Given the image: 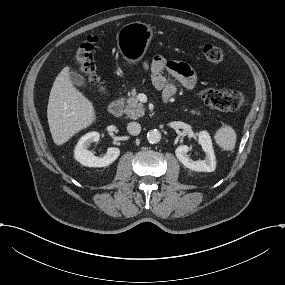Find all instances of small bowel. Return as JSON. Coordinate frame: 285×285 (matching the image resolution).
<instances>
[{"label": "small bowel", "instance_id": "obj_1", "mask_svg": "<svg viewBox=\"0 0 285 285\" xmlns=\"http://www.w3.org/2000/svg\"><path fill=\"white\" fill-rule=\"evenodd\" d=\"M153 85L162 91L165 100L171 99L181 85L187 90H192L197 84V76L193 69L181 61H169L156 55L147 65ZM167 72L170 78L164 76Z\"/></svg>", "mask_w": 285, "mask_h": 285}]
</instances>
